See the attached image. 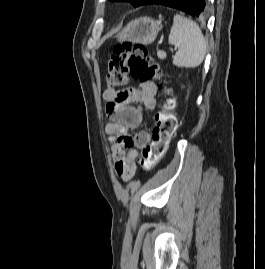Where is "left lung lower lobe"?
Here are the masks:
<instances>
[{
  "mask_svg": "<svg viewBox=\"0 0 265 269\" xmlns=\"http://www.w3.org/2000/svg\"><path fill=\"white\" fill-rule=\"evenodd\" d=\"M147 4L176 8L195 18H202L207 14L206 0H145L142 5Z\"/></svg>",
  "mask_w": 265,
  "mask_h": 269,
  "instance_id": "0a47b994",
  "label": "left lung lower lobe"
}]
</instances>
